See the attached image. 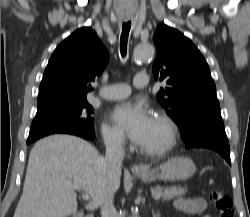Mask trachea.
Masks as SVG:
<instances>
[{"instance_id": "3493384b", "label": "trachea", "mask_w": 250, "mask_h": 217, "mask_svg": "<svg viewBox=\"0 0 250 217\" xmlns=\"http://www.w3.org/2000/svg\"><path fill=\"white\" fill-rule=\"evenodd\" d=\"M131 28V22L123 23L122 33L120 38V48H121V55L124 57L127 51V41L128 36Z\"/></svg>"}]
</instances>
